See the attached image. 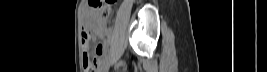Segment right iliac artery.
<instances>
[{
  "instance_id": "1",
  "label": "right iliac artery",
  "mask_w": 267,
  "mask_h": 72,
  "mask_svg": "<svg viewBox=\"0 0 267 72\" xmlns=\"http://www.w3.org/2000/svg\"><path fill=\"white\" fill-rule=\"evenodd\" d=\"M108 59H109V56L106 55L105 58H104V60H103L102 65L106 64L108 62Z\"/></svg>"
}]
</instances>
